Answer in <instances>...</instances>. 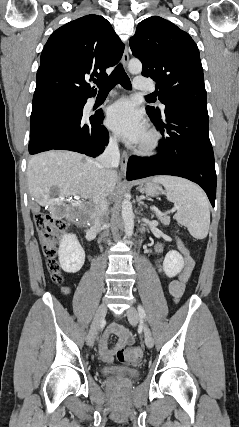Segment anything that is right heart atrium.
<instances>
[{"mask_svg": "<svg viewBox=\"0 0 239 427\" xmlns=\"http://www.w3.org/2000/svg\"><path fill=\"white\" fill-rule=\"evenodd\" d=\"M110 143H111L112 145H115V139H114L113 137H111V138H110Z\"/></svg>", "mask_w": 239, "mask_h": 427, "instance_id": "1", "label": "right heart atrium"}]
</instances>
